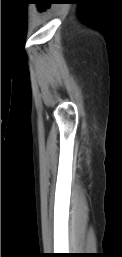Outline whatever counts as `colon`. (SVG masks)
I'll list each match as a JSON object with an SVG mask.
<instances>
[{
  "label": "colon",
  "mask_w": 122,
  "mask_h": 257,
  "mask_svg": "<svg viewBox=\"0 0 122 257\" xmlns=\"http://www.w3.org/2000/svg\"><path fill=\"white\" fill-rule=\"evenodd\" d=\"M37 9L38 10H49L50 6L49 5H38Z\"/></svg>",
  "instance_id": "1"
}]
</instances>
